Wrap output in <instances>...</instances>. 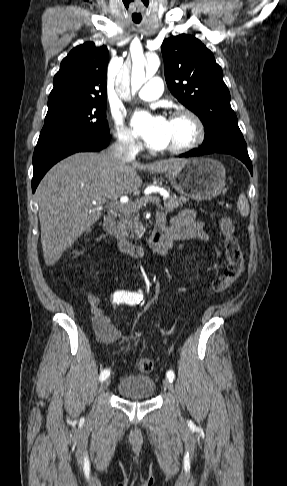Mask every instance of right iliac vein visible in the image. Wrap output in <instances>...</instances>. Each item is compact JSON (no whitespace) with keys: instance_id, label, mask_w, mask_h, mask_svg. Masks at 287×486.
Masks as SVG:
<instances>
[{"instance_id":"63e3f726","label":"right iliac vein","mask_w":287,"mask_h":486,"mask_svg":"<svg viewBox=\"0 0 287 486\" xmlns=\"http://www.w3.org/2000/svg\"><path fill=\"white\" fill-rule=\"evenodd\" d=\"M109 384H110V379L103 380L100 385V390L106 389L109 386Z\"/></svg>"}]
</instances>
